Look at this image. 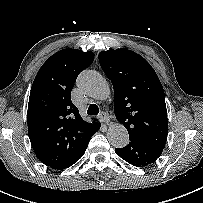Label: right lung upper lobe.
<instances>
[{"mask_svg": "<svg viewBox=\"0 0 203 203\" xmlns=\"http://www.w3.org/2000/svg\"><path fill=\"white\" fill-rule=\"evenodd\" d=\"M94 59L93 52L61 50L39 69L28 104V135L37 158L62 170L73 164L99 124L82 119L71 101L78 74Z\"/></svg>", "mask_w": 203, "mask_h": 203, "instance_id": "cb5924a9", "label": "right lung upper lobe"}]
</instances>
